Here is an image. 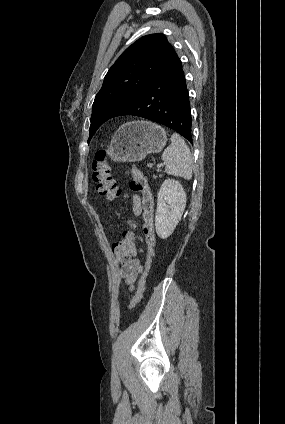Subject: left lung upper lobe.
<instances>
[{
  "label": "left lung upper lobe",
  "instance_id": "5c2ea615",
  "mask_svg": "<svg viewBox=\"0 0 285 424\" xmlns=\"http://www.w3.org/2000/svg\"><path fill=\"white\" fill-rule=\"evenodd\" d=\"M173 53L174 48L161 33L141 37L122 53L95 97L88 143L104 122L159 76Z\"/></svg>",
  "mask_w": 285,
  "mask_h": 424
}]
</instances>
